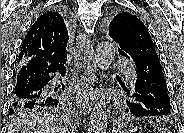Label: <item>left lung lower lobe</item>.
Returning <instances> with one entry per match:
<instances>
[{"label": "left lung lower lobe", "mask_w": 184, "mask_h": 133, "mask_svg": "<svg viewBox=\"0 0 184 133\" xmlns=\"http://www.w3.org/2000/svg\"><path fill=\"white\" fill-rule=\"evenodd\" d=\"M135 64L137 80L131 91L134 101L127 111L136 117L170 116L172 107L161 65L142 58Z\"/></svg>", "instance_id": "1"}]
</instances>
